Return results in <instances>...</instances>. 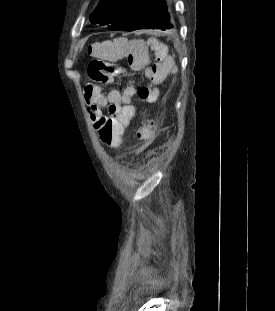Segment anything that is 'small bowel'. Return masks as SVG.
<instances>
[{
	"mask_svg": "<svg viewBox=\"0 0 275 311\" xmlns=\"http://www.w3.org/2000/svg\"><path fill=\"white\" fill-rule=\"evenodd\" d=\"M142 41H127L126 38L114 39L102 43L101 52L105 57H126L129 67L137 68L138 72H149L150 62L152 73L149 79L154 87H161L164 80H171L176 75L174 57L169 55L168 46L160 43L156 38L147 40L148 49ZM150 57V58H148ZM150 59V60H149ZM111 80L108 81L110 83ZM135 95V88L130 84L123 91L110 90L103 92L102 84L89 83L85 87L84 96L88 104V112L95 129H99L102 119L129 118V124L134 118L135 108L132 99ZM108 112H104V109ZM125 130H121L123 133ZM157 123L152 118H143L134 127L132 137L135 143H152V139L157 138Z\"/></svg>",
	"mask_w": 275,
	"mask_h": 311,
	"instance_id": "small-bowel-1",
	"label": "small bowel"
}]
</instances>
